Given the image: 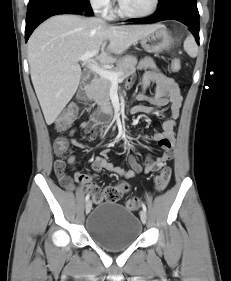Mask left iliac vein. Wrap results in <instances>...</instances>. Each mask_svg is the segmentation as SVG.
Segmentation results:
<instances>
[{
	"label": "left iliac vein",
	"instance_id": "left-iliac-vein-1",
	"mask_svg": "<svg viewBox=\"0 0 231 281\" xmlns=\"http://www.w3.org/2000/svg\"><path fill=\"white\" fill-rule=\"evenodd\" d=\"M140 218L143 224H146L147 222V215L146 212H144L143 210L140 212Z\"/></svg>",
	"mask_w": 231,
	"mask_h": 281
}]
</instances>
